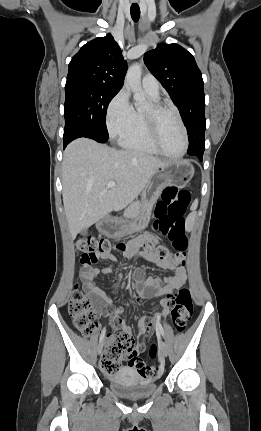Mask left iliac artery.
I'll use <instances>...</instances> for the list:
<instances>
[{
    "instance_id": "1",
    "label": "left iliac artery",
    "mask_w": 261,
    "mask_h": 431,
    "mask_svg": "<svg viewBox=\"0 0 261 431\" xmlns=\"http://www.w3.org/2000/svg\"><path fill=\"white\" fill-rule=\"evenodd\" d=\"M156 329H157V331H158L162 336H164V330H163V327H162V325H161V323H160V319H159V318H156Z\"/></svg>"
}]
</instances>
